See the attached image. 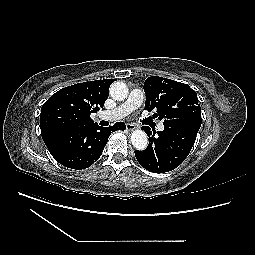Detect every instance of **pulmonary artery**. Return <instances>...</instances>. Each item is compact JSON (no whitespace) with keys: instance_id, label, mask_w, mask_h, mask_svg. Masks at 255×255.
Instances as JSON below:
<instances>
[{"instance_id":"pulmonary-artery-1","label":"pulmonary artery","mask_w":255,"mask_h":255,"mask_svg":"<svg viewBox=\"0 0 255 255\" xmlns=\"http://www.w3.org/2000/svg\"><path fill=\"white\" fill-rule=\"evenodd\" d=\"M144 93L140 89H133L131 90L128 98L124 103L120 106L116 107L115 109L109 110L104 112L103 117L108 120H117L123 118L124 116L128 115L133 110L140 107L144 101ZM158 129L162 131L164 126L162 123L158 124Z\"/></svg>"}]
</instances>
